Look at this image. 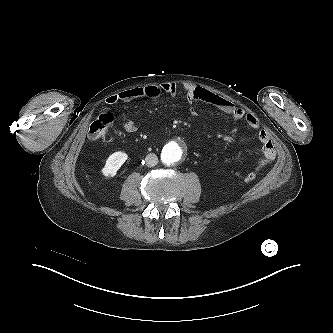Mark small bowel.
I'll list each match as a JSON object with an SVG mask.
<instances>
[{"instance_id":"obj_1","label":"small bowel","mask_w":333,"mask_h":333,"mask_svg":"<svg viewBox=\"0 0 333 333\" xmlns=\"http://www.w3.org/2000/svg\"><path fill=\"white\" fill-rule=\"evenodd\" d=\"M177 92L178 86L175 83L166 82L156 86L137 87L124 90L108 97L106 102L113 105L117 102H130L141 98L160 99L165 95L175 96ZM183 92L191 105L196 102L210 104L229 115L234 121L243 120L250 128L259 131L258 139L262 144V157L253 163L254 170L259 171L274 160L276 151L271 137L267 131L260 129L259 120L254 114L246 112L227 99L201 87L186 84L183 86ZM190 111L193 115L196 114V109L193 106ZM124 129L128 133H135L138 131L139 127L134 122L127 120L124 123Z\"/></svg>"}]
</instances>
